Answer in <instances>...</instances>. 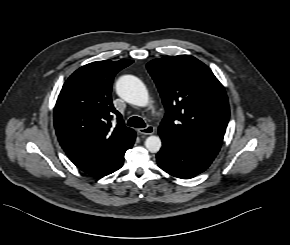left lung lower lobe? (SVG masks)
<instances>
[{"instance_id":"0a47b994","label":"left lung lower lobe","mask_w":290,"mask_h":245,"mask_svg":"<svg viewBox=\"0 0 290 245\" xmlns=\"http://www.w3.org/2000/svg\"><path fill=\"white\" fill-rule=\"evenodd\" d=\"M162 148L156 155L158 165L172 176L189 179L204 170L216 156L178 143L159 132Z\"/></svg>"}]
</instances>
